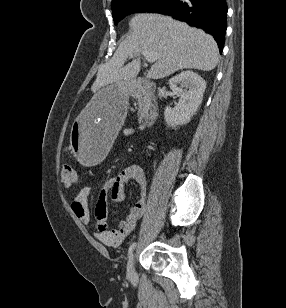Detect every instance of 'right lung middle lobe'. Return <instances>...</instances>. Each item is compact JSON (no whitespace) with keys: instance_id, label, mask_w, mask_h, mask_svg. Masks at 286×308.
<instances>
[{"instance_id":"dd1d6c3e","label":"right lung middle lobe","mask_w":286,"mask_h":308,"mask_svg":"<svg viewBox=\"0 0 286 308\" xmlns=\"http://www.w3.org/2000/svg\"><path fill=\"white\" fill-rule=\"evenodd\" d=\"M168 0H119L112 5L115 25L125 16L132 13L153 12Z\"/></svg>"}]
</instances>
